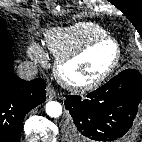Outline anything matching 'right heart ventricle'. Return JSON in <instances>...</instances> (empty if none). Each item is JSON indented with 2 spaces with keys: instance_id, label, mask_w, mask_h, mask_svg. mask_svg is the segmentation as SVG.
Instances as JSON below:
<instances>
[{
  "instance_id": "1",
  "label": "right heart ventricle",
  "mask_w": 142,
  "mask_h": 142,
  "mask_svg": "<svg viewBox=\"0 0 142 142\" xmlns=\"http://www.w3.org/2000/svg\"><path fill=\"white\" fill-rule=\"evenodd\" d=\"M106 35L107 32L101 26L92 22H80L67 28L49 30L45 42L48 50L55 57H60Z\"/></svg>"
}]
</instances>
